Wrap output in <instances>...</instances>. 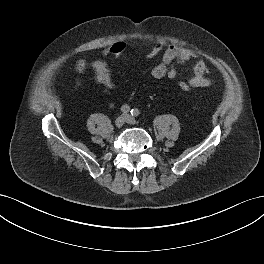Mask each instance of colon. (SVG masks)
<instances>
[{
    "label": "colon",
    "mask_w": 264,
    "mask_h": 264,
    "mask_svg": "<svg viewBox=\"0 0 264 264\" xmlns=\"http://www.w3.org/2000/svg\"><path fill=\"white\" fill-rule=\"evenodd\" d=\"M125 49H126V43L122 40H118L106 47V49L104 50V56L108 58L111 57L116 59L125 51ZM162 51H163V44L156 43L148 49L146 53V58L154 59L160 56ZM178 87L182 91H191L194 88V86L190 81H180L178 83Z\"/></svg>",
    "instance_id": "obj_1"
}]
</instances>
